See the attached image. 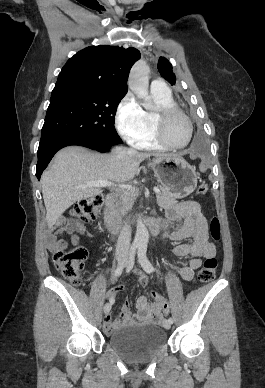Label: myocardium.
Masks as SVG:
<instances>
[{
	"label": "myocardium",
	"instance_id": "myocardium-1",
	"mask_svg": "<svg viewBox=\"0 0 265 388\" xmlns=\"http://www.w3.org/2000/svg\"><path fill=\"white\" fill-rule=\"evenodd\" d=\"M150 91H167V90H154L152 88V86H150V84H149V92ZM174 112H176L182 116V118L184 119L185 125H186L187 137H186L185 142L181 145L170 144L166 140V138L163 134V130H162V124H163L164 117L166 115H168L170 113H174ZM153 121H154V132H155L156 139L163 146L171 148V149H181V148L186 147L188 145V143L190 142L191 137H192V132H193L191 120L188 117V115L184 111H182L180 108H178L177 106H175V105H163V106L157 107L154 111Z\"/></svg>",
	"mask_w": 265,
	"mask_h": 388
}]
</instances>
